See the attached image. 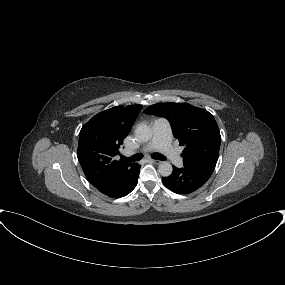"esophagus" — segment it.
Listing matches in <instances>:
<instances>
[{
	"instance_id": "34e87169",
	"label": "esophagus",
	"mask_w": 285,
	"mask_h": 285,
	"mask_svg": "<svg viewBox=\"0 0 285 285\" xmlns=\"http://www.w3.org/2000/svg\"><path fill=\"white\" fill-rule=\"evenodd\" d=\"M151 161H152L153 163H155V164H160V163H161V161L155 160V159H151Z\"/></svg>"
}]
</instances>
